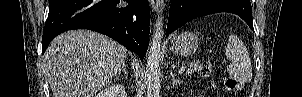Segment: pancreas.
Masks as SVG:
<instances>
[{
    "label": "pancreas",
    "instance_id": "1",
    "mask_svg": "<svg viewBox=\"0 0 302 97\" xmlns=\"http://www.w3.org/2000/svg\"><path fill=\"white\" fill-rule=\"evenodd\" d=\"M187 65L186 74H192L195 71L200 70V65L198 62L185 63Z\"/></svg>",
    "mask_w": 302,
    "mask_h": 97
}]
</instances>
